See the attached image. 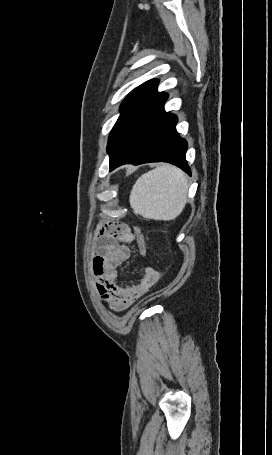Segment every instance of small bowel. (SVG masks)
Instances as JSON below:
<instances>
[{
    "instance_id": "1",
    "label": "small bowel",
    "mask_w": 272,
    "mask_h": 455,
    "mask_svg": "<svg viewBox=\"0 0 272 455\" xmlns=\"http://www.w3.org/2000/svg\"><path fill=\"white\" fill-rule=\"evenodd\" d=\"M134 240V235L125 225L107 224L100 231V243L94 255L93 271L100 295L114 312L127 309L147 293L159 279L158 271L147 266L139 281L127 285L118 282L117 269L129 257L128 244Z\"/></svg>"
}]
</instances>
